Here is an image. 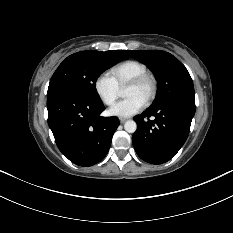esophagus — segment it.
<instances>
[{
	"label": "esophagus",
	"mask_w": 233,
	"mask_h": 233,
	"mask_svg": "<svg viewBox=\"0 0 233 233\" xmlns=\"http://www.w3.org/2000/svg\"><path fill=\"white\" fill-rule=\"evenodd\" d=\"M126 120H127V119H126V118H123V117H120V118H119L120 123H124Z\"/></svg>",
	"instance_id": "34e87169"
}]
</instances>
